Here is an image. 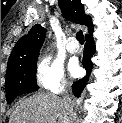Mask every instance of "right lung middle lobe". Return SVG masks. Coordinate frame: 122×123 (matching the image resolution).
<instances>
[{"label": "right lung middle lobe", "mask_w": 122, "mask_h": 123, "mask_svg": "<svg viewBox=\"0 0 122 123\" xmlns=\"http://www.w3.org/2000/svg\"><path fill=\"white\" fill-rule=\"evenodd\" d=\"M37 58L28 59L18 66L7 69L6 92L7 103H11L18 95L38 90L36 82Z\"/></svg>", "instance_id": "dd1d6c3e"}]
</instances>
